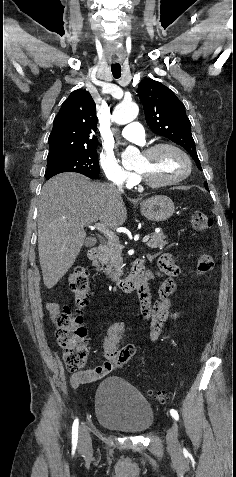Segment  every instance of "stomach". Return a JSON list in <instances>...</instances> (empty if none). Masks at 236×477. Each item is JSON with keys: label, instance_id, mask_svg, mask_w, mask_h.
I'll list each match as a JSON object with an SVG mask.
<instances>
[{"label": "stomach", "instance_id": "1", "mask_svg": "<svg viewBox=\"0 0 236 477\" xmlns=\"http://www.w3.org/2000/svg\"><path fill=\"white\" fill-rule=\"evenodd\" d=\"M141 213L147 219L161 222L169 219L174 213L173 201L164 195H156L140 203Z\"/></svg>", "mask_w": 236, "mask_h": 477}]
</instances>
